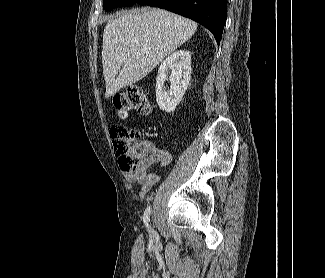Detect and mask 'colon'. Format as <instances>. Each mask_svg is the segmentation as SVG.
<instances>
[{
    "label": "colon",
    "instance_id": "1",
    "mask_svg": "<svg viewBox=\"0 0 325 278\" xmlns=\"http://www.w3.org/2000/svg\"><path fill=\"white\" fill-rule=\"evenodd\" d=\"M113 105L121 117H125L130 111L142 115L151 111V104L139 87H130L116 93ZM111 135L113 149L122 168L127 171L136 170L149 151L148 145L141 139V132L124 125H114L111 127Z\"/></svg>",
    "mask_w": 325,
    "mask_h": 278
}]
</instances>
